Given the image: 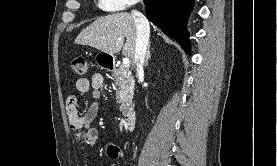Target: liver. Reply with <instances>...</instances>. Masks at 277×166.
Listing matches in <instances>:
<instances>
[{"label":"liver","mask_w":277,"mask_h":166,"mask_svg":"<svg viewBox=\"0 0 277 166\" xmlns=\"http://www.w3.org/2000/svg\"><path fill=\"white\" fill-rule=\"evenodd\" d=\"M136 36L132 14L122 12L98 18L80 32L75 43L91 46L112 56L122 49L123 55L135 64Z\"/></svg>","instance_id":"obj_1"}]
</instances>
